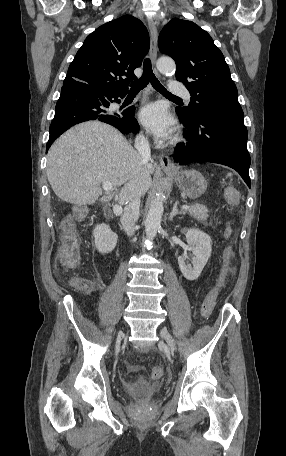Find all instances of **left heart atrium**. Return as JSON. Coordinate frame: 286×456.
Listing matches in <instances>:
<instances>
[{"instance_id":"obj_1","label":"left heart atrium","mask_w":286,"mask_h":456,"mask_svg":"<svg viewBox=\"0 0 286 456\" xmlns=\"http://www.w3.org/2000/svg\"><path fill=\"white\" fill-rule=\"evenodd\" d=\"M139 119L143 126L158 138H168L174 130V120L161 103H151L142 108Z\"/></svg>"}]
</instances>
